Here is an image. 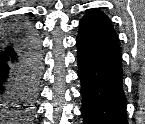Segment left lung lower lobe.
Wrapping results in <instances>:
<instances>
[{"instance_id":"0a47b994","label":"left lung lower lobe","mask_w":145,"mask_h":124,"mask_svg":"<svg viewBox=\"0 0 145 124\" xmlns=\"http://www.w3.org/2000/svg\"><path fill=\"white\" fill-rule=\"evenodd\" d=\"M77 59L84 124H128L117 34L97 9L80 20Z\"/></svg>"}]
</instances>
